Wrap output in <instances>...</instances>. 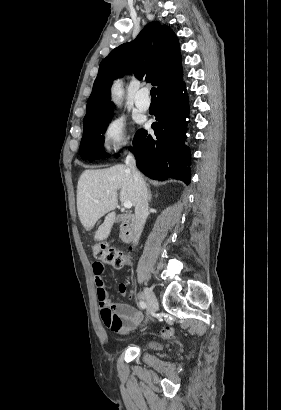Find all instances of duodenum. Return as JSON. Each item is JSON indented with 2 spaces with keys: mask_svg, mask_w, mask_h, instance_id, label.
<instances>
[{
  "mask_svg": "<svg viewBox=\"0 0 281 410\" xmlns=\"http://www.w3.org/2000/svg\"><path fill=\"white\" fill-rule=\"evenodd\" d=\"M116 220L121 223V228L123 231V240L129 243L133 237V225L135 223V215L133 214H119Z\"/></svg>",
  "mask_w": 281,
  "mask_h": 410,
  "instance_id": "duodenum-1",
  "label": "duodenum"
}]
</instances>
